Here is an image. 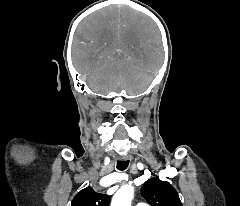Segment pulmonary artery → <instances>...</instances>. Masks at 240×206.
Masks as SVG:
<instances>
[{
    "label": "pulmonary artery",
    "mask_w": 240,
    "mask_h": 206,
    "mask_svg": "<svg viewBox=\"0 0 240 206\" xmlns=\"http://www.w3.org/2000/svg\"><path fill=\"white\" fill-rule=\"evenodd\" d=\"M136 206H149V205L146 204V203L140 202V203H138Z\"/></svg>",
    "instance_id": "1"
}]
</instances>
